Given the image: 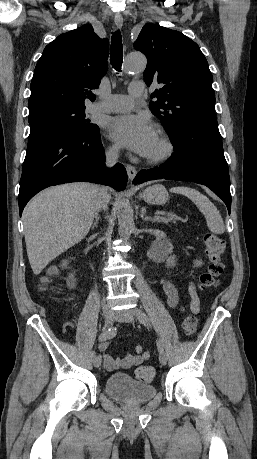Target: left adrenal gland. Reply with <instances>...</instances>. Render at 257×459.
I'll return each instance as SVG.
<instances>
[{
	"instance_id": "left-adrenal-gland-1",
	"label": "left adrenal gland",
	"mask_w": 257,
	"mask_h": 459,
	"mask_svg": "<svg viewBox=\"0 0 257 459\" xmlns=\"http://www.w3.org/2000/svg\"><path fill=\"white\" fill-rule=\"evenodd\" d=\"M145 213H146V208H145V207H142V209H141V214H140L142 220H144V221H150V222H155V219H154V218H152V217H150V216H147Z\"/></svg>"
}]
</instances>
